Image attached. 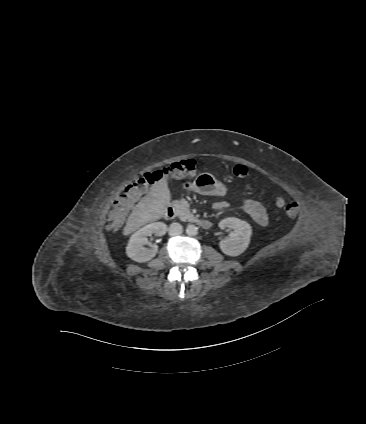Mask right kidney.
<instances>
[{"mask_svg": "<svg viewBox=\"0 0 366 424\" xmlns=\"http://www.w3.org/2000/svg\"><path fill=\"white\" fill-rule=\"evenodd\" d=\"M167 231V225L163 222H154L148 224L138 231H136L129 239L126 246V254L129 258L136 262H148L155 257L158 251L156 244H150L147 236L156 234L162 236ZM150 245V248L143 247L144 245Z\"/></svg>", "mask_w": 366, "mask_h": 424, "instance_id": "1", "label": "right kidney"}]
</instances>
